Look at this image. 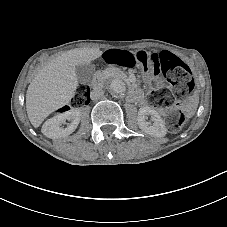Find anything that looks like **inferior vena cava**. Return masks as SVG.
Returning a JSON list of instances; mask_svg holds the SVG:
<instances>
[{
	"label": "inferior vena cava",
	"instance_id": "inferior-vena-cava-1",
	"mask_svg": "<svg viewBox=\"0 0 227 227\" xmlns=\"http://www.w3.org/2000/svg\"><path fill=\"white\" fill-rule=\"evenodd\" d=\"M102 96L103 91L99 87L92 89L90 92V99L93 101H98Z\"/></svg>",
	"mask_w": 227,
	"mask_h": 227
}]
</instances>
